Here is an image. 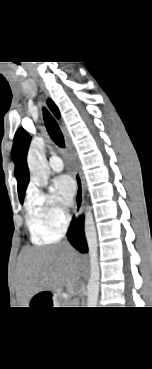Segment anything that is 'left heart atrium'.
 Returning a JSON list of instances; mask_svg holds the SVG:
<instances>
[{"mask_svg": "<svg viewBox=\"0 0 152 369\" xmlns=\"http://www.w3.org/2000/svg\"><path fill=\"white\" fill-rule=\"evenodd\" d=\"M54 187L62 202L70 206L76 193V185L72 177L67 174L58 176L54 181Z\"/></svg>", "mask_w": 152, "mask_h": 369, "instance_id": "39dd6f15", "label": "left heart atrium"}]
</instances>
